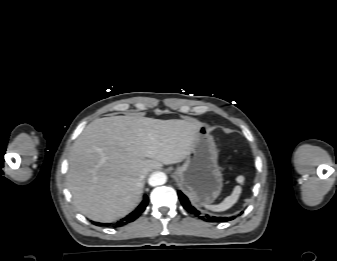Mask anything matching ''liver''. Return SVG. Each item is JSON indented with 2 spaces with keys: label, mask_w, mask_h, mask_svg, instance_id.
Masks as SVG:
<instances>
[{
  "label": "liver",
  "mask_w": 337,
  "mask_h": 261,
  "mask_svg": "<svg viewBox=\"0 0 337 261\" xmlns=\"http://www.w3.org/2000/svg\"><path fill=\"white\" fill-rule=\"evenodd\" d=\"M201 126L136 116L95 119L69 155L67 186L75 207L98 222L126 216L139 202L142 171L186 159Z\"/></svg>",
  "instance_id": "1"
}]
</instances>
